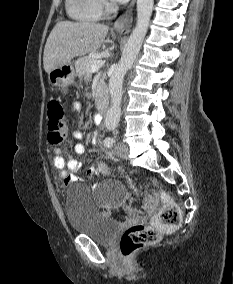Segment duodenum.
<instances>
[{
	"mask_svg": "<svg viewBox=\"0 0 233 284\" xmlns=\"http://www.w3.org/2000/svg\"><path fill=\"white\" fill-rule=\"evenodd\" d=\"M107 105H108V102H107V98L105 96H101L98 100H97V109L98 111L103 114L106 109H107Z\"/></svg>",
	"mask_w": 233,
	"mask_h": 284,
	"instance_id": "1",
	"label": "duodenum"
}]
</instances>
